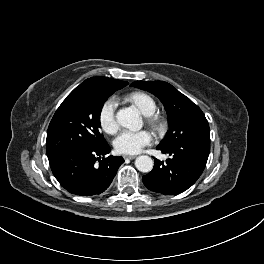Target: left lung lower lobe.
Here are the masks:
<instances>
[{
    "label": "left lung lower lobe",
    "instance_id": "left-lung-lower-lobe-1",
    "mask_svg": "<svg viewBox=\"0 0 264 264\" xmlns=\"http://www.w3.org/2000/svg\"><path fill=\"white\" fill-rule=\"evenodd\" d=\"M169 154L166 163L155 159L151 172L143 176L144 185L151 191L176 195L191 187L202 174L210 152V141H183L171 147H157Z\"/></svg>",
    "mask_w": 264,
    "mask_h": 264
}]
</instances>
